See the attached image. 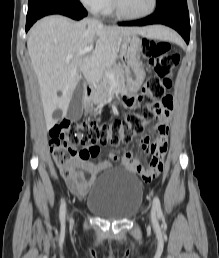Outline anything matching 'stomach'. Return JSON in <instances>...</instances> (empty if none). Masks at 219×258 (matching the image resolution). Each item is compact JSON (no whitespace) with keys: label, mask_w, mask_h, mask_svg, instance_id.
Returning a JSON list of instances; mask_svg holds the SVG:
<instances>
[{"label":"stomach","mask_w":219,"mask_h":258,"mask_svg":"<svg viewBox=\"0 0 219 258\" xmlns=\"http://www.w3.org/2000/svg\"><path fill=\"white\" fill-rule=\"evenodd\" d=\"M121 56L125 61V82L129 92H136L145 79L141 63L142 41L136 34L124 36L120 42Z\"/></svg>","instance_id":"stomach-1"}]
</instances>
